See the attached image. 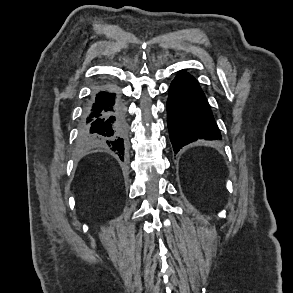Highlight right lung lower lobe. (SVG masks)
Here are the masks:
<instances>
[{"label": "right lung lower lobe", "mask_w": 293, "mask_h": 293, "mask_svg": "<svg viewBox=\"0 0 293 293\" xmlns=\"http://www.w3.org/2000/svg\"><path fill=\"white\" fill-rule=\"evenodd\" d=\"M128 126L124 105L112 85L97 89L82 114L79 138L84 145L109 147L123 160Z\"/></svg>", "instance_id": "right-lung-lower-lobe-1"}]
</instances>
